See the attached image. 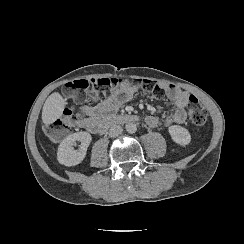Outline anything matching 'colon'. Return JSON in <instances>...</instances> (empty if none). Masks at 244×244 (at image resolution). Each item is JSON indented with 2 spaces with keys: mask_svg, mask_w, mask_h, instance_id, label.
Here are the masks:
<instances>
[{
  "mask_svg": "<svg viewBox=\"0 0 244 244\" xmlns=\"http://www.w3.org/2000/svg\"><path fill=\"white\" fill-rule=\"evenodd\" d=\"M129 78H97L90 80L87 77H80L77 80H70L64 86V93L70 99H76L74 112L68 111L61 114L55 122L48 124L44 132L50 139L65 138L73 134L74 126L78 121V114L87 111V104L98 99L109 97L111 88L130 83ZM136 85L142 86L146 92L155 93L157 97L164 96V91L150 80H137ZM93 88L98 89L97 95L91 93ZM109 88V89H107ZM107 89V90H106ZM188 116L190 122L197 126H202L207 122V112L204 106L196 97H191L188 103Z\"/></svg>",
  "mask_w": 244,
  "mask_h": 244,
  "instance_id": "obj_1",
  "label": "colon"
}]
</instances>
